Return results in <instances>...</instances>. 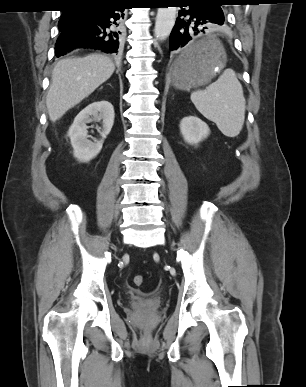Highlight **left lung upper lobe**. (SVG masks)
I'll use <instances>...</instances> for the list:
<instances>
[{"mask_svg": "<svg viewBox=\"0 0 306 387\" xmlns=\"http://www.w3.org/2000/svg\"><path fill=\"white\" fill-rule=\"evenodd\" d=\"M201 1H214V2H219V3L223 2V0H201Z\"/></svg>", "mask_w": 306, "mask_h": 387, "instance_id": "left-lung-upper-lobe-1", "label": "left lung upper lobe"}]
</instances>
